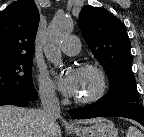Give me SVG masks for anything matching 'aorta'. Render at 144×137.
Listing matches in <instances>:
<instances>
[{"mask_svg":"<svg viewBox=\"0 0 144 137\" xmlns=\"http://www.w3.org/2000/svg\"><path fill=\"white\" fill-rule=\"evenodd\" d=\"M72 29V21L65 16H55L49 24L45 37L44 52L51 63H60L61 44Z\"/></svg>","mask_w":144,"mask_h":137,"instance_id":"762f6f07","label":"aorta"}]
</instances>
